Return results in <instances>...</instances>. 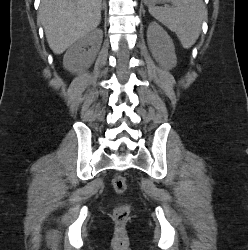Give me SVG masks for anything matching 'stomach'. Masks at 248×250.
Returning a JSON list of instances; mask_svg holds the SVG:
<instances>
[{"label":"stomach","instance_id":"0dacf381","mask_svg":"<svg viewBox=\"0 0 248 250\" xmlns=\"http://www.w3.org/2000/svg\"><path fill=\"white\" fill-rule=\"evenodd\" d=\"M169 0H144V2L149 5V6H152V5H155V4H158V3H164V2H168Z\"/></svg>","mask_w":248,"mask_h":250}]
</instances>
